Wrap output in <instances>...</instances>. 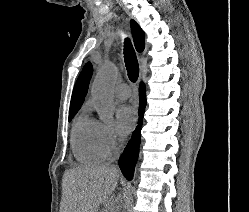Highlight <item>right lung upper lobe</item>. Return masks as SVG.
I'll use <instances>...</instances> for the list:
<instances>
[{"label": "right lung upper lobe", "instance_id": "cb5924a9", "mask_svg": "<svg viewBox=\"0 0 249 212\" xmlns=\"http://www.w3.org/2000/svg\"><path fill=\"white\" fill-rule=\"evenodd\" d=\"M131 29L135 47L138 52H141L143 51L145 45L144 32L134 20H131ZM92 73V64L88 62L84 66L75 84L71 98L70 110H79L81 108L88 91V86L92 77Z\"/></svg>", "mask_w": 249, "mask_h": 212}]
</instances>
